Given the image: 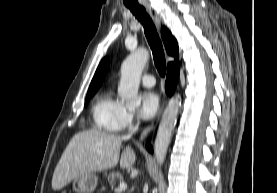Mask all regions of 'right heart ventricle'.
<instances>
[{
	"instance_id": "e07e8e85",
	"label": "right heart ventricle",
	"mask_w": 277,
	"mask_h": 193,
	"mask_svg": "<svg viewBox=\"0 0 277 193\" xmlns=\"http://www.w3.org/2000/svg\"><path fill=\"white\" fill-rule=\"evenodd\" d=\"M123 106L109 93L102 95L93 105L94 127L103 132L115 133L121 130Z\"/></svg>"
}]
</instances>
